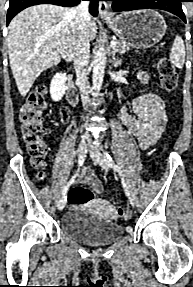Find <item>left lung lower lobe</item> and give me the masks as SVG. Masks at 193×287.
Masks as SVG:
<instances>
[{"label":"left lung lower lobe","instance_id":"obj_1","mask_svg":"<svg viewBox=\"0 0 193 287\" xmlns=\"http://www.w3.org/2000/svg\"><path fill=\"white\" fill-rule=\"evenodd\" d=\"M114 1L112 8L114 11H131L137 9H161L171 12L186 22L182 10L181 2L184 0H110Z\"/></svg>","mask_w":193,"mask_h":287}]
</instances>
